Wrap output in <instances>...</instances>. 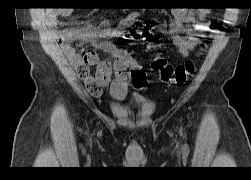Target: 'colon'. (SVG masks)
Masks as SVG:
<instances>
[{
  "instance_id": "1",
  "label": "colon",
  "mask_w": 251,
  "mask_h": 180,
  "mask_svg": "<svg viewBox=\"0 0 251 180\" xmlns=\"http://www.w3.org/2000/svg\"><path fill=\"white\" fill-rule=\"evenodd\" d=\"M124 38L125 41H141L152 48L157 46L159 40L158 36L146 24L139 22L131 25ZM151 67L158 72L162 82L176 86H182L195 70L193 61L189 60L183 64L172 66L161 56H156L153 59Z\"/></svg>"
}]
</instances>
